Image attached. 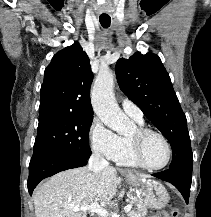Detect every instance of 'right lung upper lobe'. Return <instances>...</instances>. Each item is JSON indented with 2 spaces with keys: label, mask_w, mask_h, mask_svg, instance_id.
Here are the masks:
<instances>
[{
  "label": "right lung upper lobe",
  "mask_w": 211,
  "mask_h": 217,
  "mask_svg": "<svg viewBox=\"0 0 211 217\" xmlns=\"http://www.w3.org/2000/svg\"><path fill=\"white\" fill-rule=\"evenodd\" d=\"M90 61L79 43L54 55L41 86L39 119L57 114L93 116Z\"/></svg>",
  "instance_id": "1"
}]
</instances>
